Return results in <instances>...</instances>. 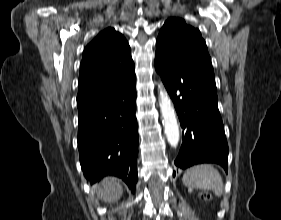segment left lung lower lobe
Here are the masks:
<instances>
[{
	"instance_id": "1",
	"label": "left lung lower lobe",
	"mask_w": 281,
	"mask_h": 220,
	"mask_svg": "<svg viewBox=\"0 0 281 220\" xmlns=\"http://www.w3.org/2000/svg\"><path fill=\"white\" fill-rule=\"evenodd\" d=\"M155 69L183 128V143L174 162L176 170L217 163L227 171L228 145L218 110L215 79L182 60L155 59Z\"/></svg>"
}]
</instances>
